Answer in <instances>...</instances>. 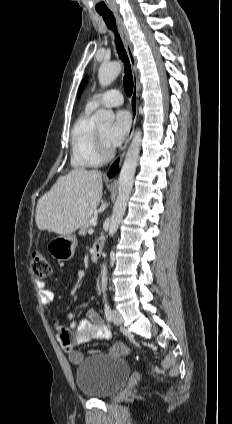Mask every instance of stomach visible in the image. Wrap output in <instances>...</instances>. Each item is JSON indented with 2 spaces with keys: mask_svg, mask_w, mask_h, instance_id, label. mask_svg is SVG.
Here are the masks:
<instances>
[{
  "mask_svg": "<svg viewBox=\"0 0 232 424\" xmlns=\"http://www.w3.org/2000/svg\"><path fill=\"white\" fill-rule=\"evenodd\" d=\"M77 238L74 234L59 235L47 244L48 253L58 260H69L74 255Z\"/></svg>",
  "mask_w": 232,
  "mask_h": 424,
  "instance_id": "obj_1",
  "label": "stomach"
}]
</instances>
